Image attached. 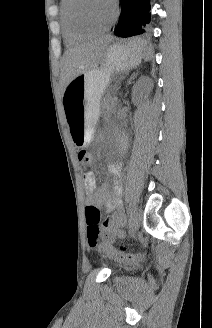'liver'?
<instances>
[{"mask_svg": "<svg viewBox=\"0 0 212 328\" xmlns=\"http://www.w3.org/2000/svg\"><path fill=\"white\" fill-rule=\"evenodd\" d=\"M110 42L109 38H100L90 43L70 48L63 55V87L80 73L98 69L103 52Z\"/></svg>", "mask_w": 212, "mask_h": 328, "instance_id": "liver-1", "label": "liver"}]
</instances>
